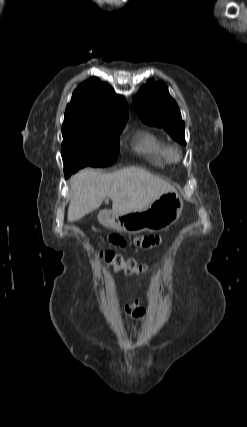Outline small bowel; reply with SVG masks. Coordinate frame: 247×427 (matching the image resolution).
Here are the masks:
<instances>
[{"label":"small bowel","instance_id":"c3829d8e","mask_svg":"<svg viewBox=\"0 0 247 427\" xmlns=\"http://www.w3.org/2000/svg\"><path fill=\"white\" fill-rule=\"evenodd\" d=\"M108 237L110 239V241H109L110 244L116 245L120 249L125 248L126 241L123 240L122 237L117 236L113 232L110 233ZM158 243H159L158 237H140V238L135 239V244L138 246H141V247H150V246H154ZM125 311H126V313L131 315L133 318H141L144 316V313H145V311L142 308L138 307L137 304L131 305V306H126Z\"/></svg>","mask_w":247,"mask_h":427}]
</instances>
